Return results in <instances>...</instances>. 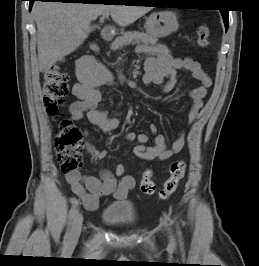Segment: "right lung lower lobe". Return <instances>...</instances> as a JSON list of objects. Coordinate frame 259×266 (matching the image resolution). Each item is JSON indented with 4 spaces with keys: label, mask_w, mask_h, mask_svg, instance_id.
<instances>
[{
    "label": "right lung lower lobe",
    "mask_w": 259,
    "mask_h": 266,
    "mask_svg": "<svg viewBox=\"0 0 259 266\" xmlns=\"http://www.w3.org/2000/svg\"><path fill=\"white\" fill-rule=\"evenodd\" d=\"M29 1H30V11H31L34 1H42V2L51 1V2H62V3L81 1V3L86 4V3H103L105 0H29ZM105 3H109V2H105ZM112 3H118V2H112Z\"/></svg>",
    "instance_id": "1"
}]
</instances>
